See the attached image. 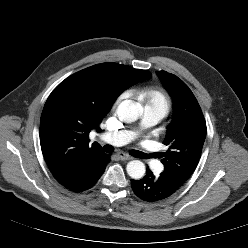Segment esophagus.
<instances>
[{
	"label": "esophagus",
	"instance_id": "1",
	"mask_svg": "<svg viewBox=\"0 0 248 248\" xmlns=\"http://www.w3.org/2000/svg\"><path fill=\"white\" fill-rule=\"evenodd\" d=\"M117 155H118L119 159H121V160H131L132 159L131 156H129L128 154H126L124 152H119Z\"/></svg>",
	"mask_w": 248,
	"mask_h": 248
}]
</instances>
